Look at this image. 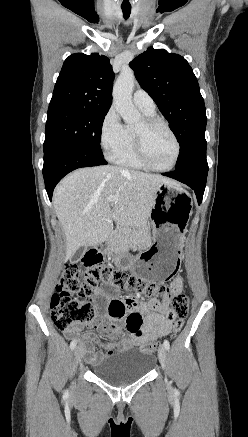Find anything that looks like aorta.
Returning a JSON list of instances; mask_svg holds the SVG:
<instances>
[{
    "label": "aorta",
    "instance_id": "1",
    "mask_svg": "<svg viewBox=\"0 0 248 437\" xmlns=\"http://www.w3.org/2000/svg\"><path fill=\"white\" fill-rule=\"evenodd\" d=\"M134 74L131 70H123L118 76L113 87V104L124 122L132 126L141 120V114L132 102L134 87Z\"/></svg>",
    "mask_w": 248,
    "mask_h": 437
}]
</instances>
